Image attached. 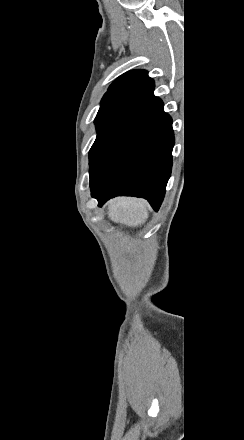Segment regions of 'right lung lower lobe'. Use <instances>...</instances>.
Listing matches in <instances>:
<instances>
[{
	"label": "right lung lower lobe",
	"mask_w": 244,
	"mask_h": 440,
	"mask_svg": "<svg viewBox=\"0 0 244 440\" xmlns=\"http://www.w3.org/2000/svg\"><path fill=\"white\" fill-rule=\"evenodd\" d=\"M172 119L152 94L113 128L90 165V188L99 206L115 196L143 197L158 210L171 174Z\"/></svg>",
	"instance_id": "98d812e1"
}]
</instances>
